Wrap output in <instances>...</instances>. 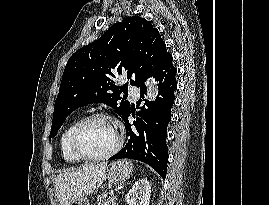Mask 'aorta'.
I'll return each mask as SVG.
<instances>
[{
  "label": "aorta",
  "mask_w": 269,
  "mask_h": 205,
  "mask_svg": "<svg viewBox=\"0 0 269 205\" xmlns=\"http://www.w3.org/2000/svg\"><path fill=\"white\" fill-rule=\"evenodd\" d=\"M158 95V86L153 78L148 79L147 81V95L146 98L149 101L155 100L156 96Z\"/></svg>",
  "instance_id": "1"
}]
</instances>
